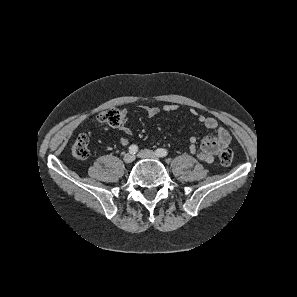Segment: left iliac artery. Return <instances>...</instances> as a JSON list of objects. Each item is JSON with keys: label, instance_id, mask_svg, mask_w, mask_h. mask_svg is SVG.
<instances>
[{"label": "left iliac artery", "instance_id": "1", "mask_svg": "<svg viewBox=\"0 0 297 297\" xmlns=\"http://www.w3.org/2000/svg\"><path fill=\"white\" fill-rule=\"evenodd\" d=\"M155 152L159 157H165L168 155V151L163 148H158Z\"/></svg>", "mask_w": 297, "mask_h": 297}]
</instances>
